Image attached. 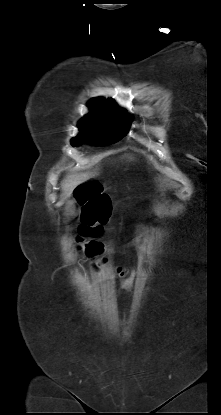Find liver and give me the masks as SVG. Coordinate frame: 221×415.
I'll return each instance as SVG.
<instances>
[{"label":"liver","mask_w":221,"mask_h":415,"mask_svg":"<svg viewBox=\"0 0 221 415\" xmlns=\"http://www.w3.org/2000/svg\"><path fill=\"white\" fill-rule=\"evenodd\" d=\"M97 173L94 172H86V173H76V174H70L68 175L62 182H61V188L63 191V196L65 198H68L74 188L78 186L79 184L89 180L90 178L96 176Z\"/></svg>","instance_id":"liver-1"}]
</instances>
